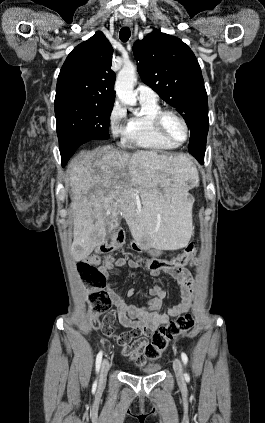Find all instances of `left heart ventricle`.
<instances>
[{
	"label": "left heart ventricle",
	"mask_w": 265,
	"mask_h": 423,
	"mask_svg": "<svg viewBox=\"0 0 265 423\" xmlns=\"http://www.w3.org/2000/svg\"><path fill=\"white\" fill-rule=\"evenodd\" d=\"M165 128L168 134L175 140L181 141L185 137V129L182 123L174 116H167L165 119Z\"/></svg>",
	"instance_id": "left-heart-ventricle-1"
}]
</instances>
